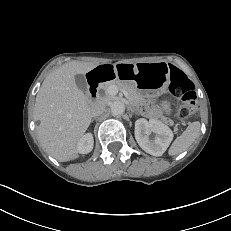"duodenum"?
Masks as SVG:
<instances>
[{
  "label": "duodenum",
  "instance_id": "1",
  "mask_svg": "<svg viewBox=\"0 0 231 231\" xmlns=\"http://www.w3.org/2000/svg\"><path fill=\"white\" fill-rule=\"evenodd\" d=\"M108 69L101 68L98 71H96L93 76L89 79V96L91 98L97 97V87L98 84L102 81H104L108 77Z\"/></svg>",
  "mask_w": 231,
  "mask_h": 231
}]
</instances>
